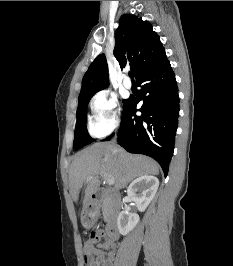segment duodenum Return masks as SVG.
<instances>
[{
	"label": "duodenum",
	"mask_w": 233,
	"mask_h": 266,
	"mask_svg": "<svg viewBox=\"0 0 233 266\" xmlns=\"http://www.w3.org/2000/svg\"><path fill=\"white\" fill-rule=\"evenodd\" d=\"M91 201L93 203L104 202L107 212L105 233L111 240L118 239L120 236L118 227V218L120 214L119 200L111 192L97 190L91 195Z\"/></svg>",
	"instance_id": "obj_1"
}]
</instances>
